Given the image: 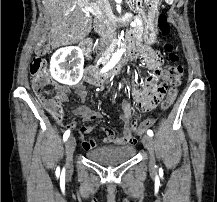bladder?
<instances>
[{"instance_id": "bladder-1", "label": "bladder", "mask_w": 217, "mask_h": 202, "mask_svg": "<svg viewBox=\"0 0 217 202\" xmlns=\"http://www.w3.org/2000/svg\"><path fill=\"white\" fill-rule=\"evenodd\" d=\"M135 153V148L129 146L116 147H101L95 151L86 152V155L93 161L101 162L103 165H116L126 160H129Z\"/></svg>"}]
</instances>
